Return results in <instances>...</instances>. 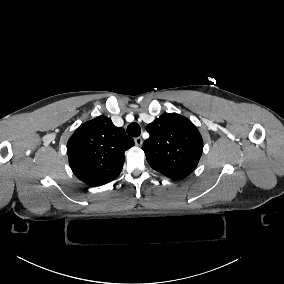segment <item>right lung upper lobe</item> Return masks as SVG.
I'll return each instance as SVG.
<instances>
[{
	"instance_id": "obj_1",
	"label": "right lung upper lobe",
	"mask_w": 284,
	"mask_h": 284,
	"mask_svg": "<svg viewBox=\"0 0 284 284\" xmlns=\"http://www.w3.org/2000/svg\"><path fill=\"white\" fill-rule=\"evenodd\" d=\"M134 140L103 115L79 126L67 143L69 165L78 179L90 186L114 180L121 172L124 152Z\"/></svg>"
}]
</instances>
